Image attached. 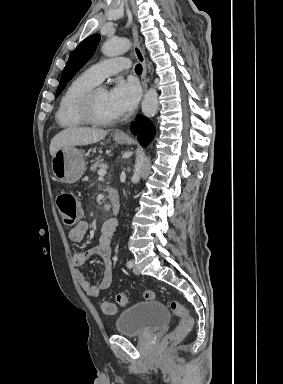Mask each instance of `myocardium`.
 <instances>
[{"label":"myocardium","instance_id":"f54148a6","mask_svg":"<svg viewBox=\"0 0 283 384\" xmlns=\"http://www.w3.org/2000/svg\"><path fill=\"white\" fill-rule=\"evenodd\" d=\"M100 89H105L102 85H95L87 90L77 101L75 114L86 125L96 127H109L118 122V119L103 120L100 119L94 110V99Z\"/></svg>","mask_w":283,"mask_h":384}]
</instances>
